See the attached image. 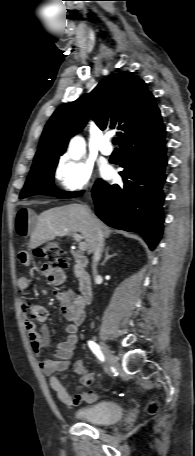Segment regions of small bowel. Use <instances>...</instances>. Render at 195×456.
<instances>
[{
  "mask_svg": "<svg viewBox=\"0 0 195 456\" xmlns=\"http://www.w3.org/2000/svg\"><path fill=\"white\" fill-rule=\"evenodd\" d=\"M33 224V213L27 208L18 211L15 220V229L18 235L27 236L31 233ZM18 259L24 266L31 264L30 254L22 250L18 254ZM39 271L52 285L59 286L65 281V271L63 267H51L44 263L40 266ZM30 280L23 276L17 281L19 294L26 296L29 292ZM54 297L60 303L63 316L68 321L65 328L66 338L59 342L54 351L53 358L41 360V368L48 377L51 389L56 393L61 403L66 406H78L81 402H94L98 395L95 392H83L71 396L61 383L58 374L65 371L73 357L78 343V329L84 321V302L71 290H55ZM20 307L24 316V325L30 340V345L34 353L40 356L44 347L48 346L51 341V334L48 327L43 326L38 329L34 321L43 322L46 320L48 313L45 307L31 303L26 298L20 300ZM74 371L80 376V382L83 386L89 387L94 383L95 377L90 373L84 362L79 360L74 364Z\"/></svg>",
  "mask_w": 195,
  "mask_h": 456,
  "instance_id": "c3829d8e",
  "label": "small bowel"
}]
</instances>
